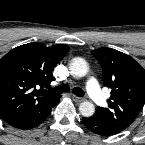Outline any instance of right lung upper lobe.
Wrapping results in <instances>:
<instances>
[{"label": "right lung upper lobe", "instance_id": "1", "mask_svg": "<svg viewBox=\"0 0 145 145\" xmlns=\"http://www.w3.org/2000/svg\"><path fill=\"white\" fill-rule=\"evenodd\" d=\"M69 47H45L39 43L18 46L0 59V118L9 123L38 113L60 99L48 91L54 80L52 70Z\"/></svg>", "mask_w": 145, "mask_h": 145}]
</instances>
